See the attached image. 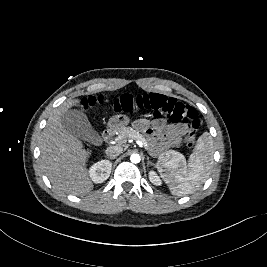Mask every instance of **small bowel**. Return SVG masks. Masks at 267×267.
Masks as SVG:
<instances>
[{
	"mask_svg": "<svg viewBox=\"0 0 267 267\" xmlns=\"http://www.w3.org/2000/svg\"><path fill=\"white\" fill-rule=\"evenodd\" d=\"M135 127L144 132L156 148L177 146L187 132L186 125L168 124L162 119L152 122L146 119H139L135 122Z\"/></svg>",
	"mask_w": 267,
	"mask_h": 267,
	"instance_id": "obj_1",
	"label": "small bowel"
}]
</instances>
